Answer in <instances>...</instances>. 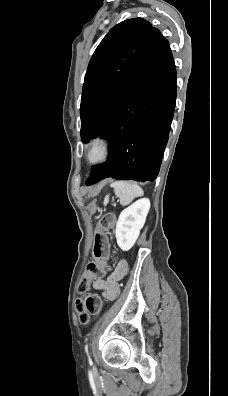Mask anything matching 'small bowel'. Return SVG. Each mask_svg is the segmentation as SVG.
Here are the masks:
<instances>
[{
  "label": "small bowel",
  "mask_w": 228,
  "mask_h": 396,
  "mask_svg": "<svg viewBox=\"0 0 228 396\" xmlns=\"http://www.w3.org/2000/svg\"><path fill=\"white\" fill-rule=\"evenodd\" d=\"M109 270L107 278L94 279L92 286L94 289L101 291L103 298L107 300H114L120 293V286L118 284L128 271V264L126 261H120L116 267Z\"/></svg>",
  "instance_id": "obj_1"
}]
</instances>
